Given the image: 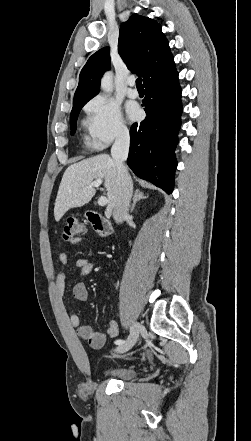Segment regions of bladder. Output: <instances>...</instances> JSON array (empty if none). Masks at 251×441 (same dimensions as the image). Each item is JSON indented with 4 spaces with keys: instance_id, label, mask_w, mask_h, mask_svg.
Returning <instances> with one entry per match:
<instances>
[{
    "instance_id": "bladder-1",
    "label": "bladder",
    "mask_w": 251,
    "mask_h": 441,
    "mask_svg": "<svg viewBox=\"0 0 251 441\" xmlns=\"http://www.w3.org/2000/svg\"><path fill=\"white\" fill-rule=\"evenodd\" d=\"M135 369L130 367L110 368L103 371V375L118 380H130L136 376Z\"/></svg>"
}]
</instances>
